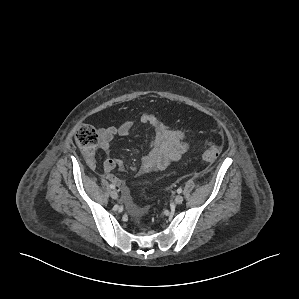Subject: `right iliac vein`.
Listing matches in <instances>:
<instances>
[{
  "label": "right iliac vein",
  "mask_w": 299,
  "mask_h": 299,
  "mask_svg": "<svg viewBox=\"0 0 299 299\" xmlns=\"http://www.w3.org/2000/svg\"><path fill=\"white\" fill-rule=\"evenodd\" d=\"M110 196L112 199L118 198V193L115 190L110 191Z\"/></svg>",
  "instance_id": "1"
}]
</instances>
